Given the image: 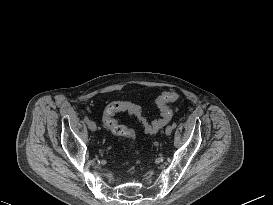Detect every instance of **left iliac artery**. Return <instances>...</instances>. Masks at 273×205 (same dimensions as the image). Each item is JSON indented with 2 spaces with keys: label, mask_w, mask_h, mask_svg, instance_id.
Returning <instances> with one entry per match:
<instances>
[{
  "label": "left iliac artery",
  "mask_w": 273,
  "mask_h": 205,
  "mask_svg": "<svg viewBox=\"0 0 273 205\" xmlns=\"http://www.w3.org/2000/svg\"><path fill=\"white\" fill-rule=\"evenodd\" d=\"M176 126H177L176 123H173V124H172V128H173V129L176 128Z\"/></svg>",
  "instance_id": "left-iliac-artery-1"
}]
</instances>
